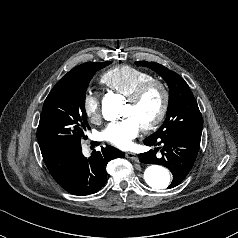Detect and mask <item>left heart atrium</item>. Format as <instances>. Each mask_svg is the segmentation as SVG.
<instances>
[{
	"mask_svg": "<svg viewBox=\"0 0 238 238\" xmlns=\"http://www.w3.org/2000/svg\"><path fill=\"white\" fill-rule=\"evenodd\" d=\"M140 129L141 126L133 117H125L107 125L103 131V137L107 142L121 149H127L132 145Z\"/></svg>",
	"mask_w": 238,
	"mask_h": 238,
	"instance_id": "left-heart-atrium-1",
	"label": "left heart atrium"
}]
</instances>
